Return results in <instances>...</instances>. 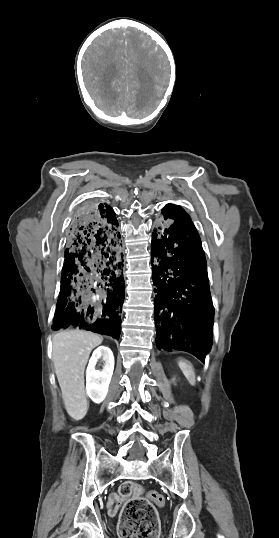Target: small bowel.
<instances>
[{"mask_svg": "<svg viewBox=\"0 0 279 538\" xmlns=\"http://www.w3.org/2000/svg\"><path fill=\"white\" fill-rule=\"evenodd\" d=\"M121 506V501L116 494H113L109 497L107 502V512L109 516H115L119 511Z\"/></svg>", "mask_w": 279, "mask_h": 538, "instance_id": "1", "label": "small bowel"}]
</instances>
